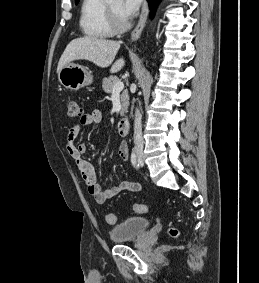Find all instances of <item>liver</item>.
Returning <instances> with one entry per match:
<instances>
[{
    "instance_id": "obj_1",
    "label": "liver",
    "mask_w": 259,
    "mask_h": 283,
    "mask_svg": "<svg viewBox=\"0 0 259 283\" xmlns=\"http://www.w3.org/2000/svg\"><path fill=\"white\" fill-rule=\"evenodd\" d=\"M120 48V42L85 36L73 39L64 50L57 67V73L67 64L74 60H88L95 65L109 67ZM125 61L118 59L111 67L110 72L116 73L122 69Z\"/></svg>"
}]
</instances>
